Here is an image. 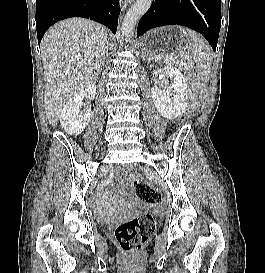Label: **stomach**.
Segmentation results:
<instances>
[{
	"mask_svg": "<svg viewBox=\"0 0 265 273\" xmlns=\"http://www.w3.org/2000/svg\"><path fill=\"white\" fill-rule=\"evenodd\" d=\"M160 30H150L145 40H139L140 49H151L147 56H177L179 35H185L183 25H160Z\"/></svg>",
	"mask_w": 265,
	"mask_h": 273,
	"instance_id": "stomach-1",
	"label": "stomach"
}]
</instances>
